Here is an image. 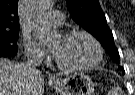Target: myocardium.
Wrapping results in <instances>:
<instances>
[{
    "mask_svg": "<svg viewBox=\"0 0 135 95\" xmlns=\"http://www.w3.org/2000/svg\"><path fill=\"white\" fill-rule=\"evenodd\" d=\"M75 35H83V36L87 37L94 44L96 51H97L96 59L93 62L88 63V64L68 65V64H64V63L60 62L55 57L56 65L61 69L70 70V71L88 70V69H92V68H95L96 66H98L102 62L103 56H104L103 48H102V45L100 44V42L90 32H88L86 30H81V29H73V30L63 32L61 36L63 38H69V37H72Z\"/></svg>",
    "mask_w": 135,
    "mask_h": 95,
    "instance_id": "1",
    "label": "myocardium"
}]
</instances>
